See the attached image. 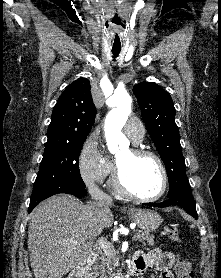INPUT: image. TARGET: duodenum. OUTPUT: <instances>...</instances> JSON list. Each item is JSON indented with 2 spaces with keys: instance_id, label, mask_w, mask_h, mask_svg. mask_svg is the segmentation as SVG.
Masks as SVG:
<instances>
[{
  "instance_id": "duodenum-1",
  "label": "duodenum",
  "mask_w": 221,
  "mask_h": 278,
  "mask_svg": "<svg viewBox=\"0 0 221 278\" xmlns=\"http://www.w3.org/2000/svg\"><path fill=\"white\" fill-rule=\"evenodd\" d=\"M93 263V257L90 256L89 258L85 259L84 261H82L79 265H77L68 275L67 278H88V270L90 268V266ZM139 273H141L135 263L134 260H132L131 264H130V268H129V273L126 277L127 278L129 276H136Z\"/></svg>"
}]
</instances>
